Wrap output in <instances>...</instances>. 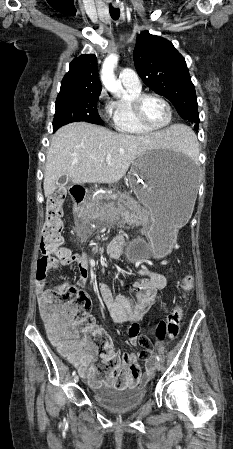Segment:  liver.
<instances>
[{
    "label": "liver",
    "instance_id": "1",
    "mask_svg": "<svg viewBox=\"0 0 233 449\" xmlns=\"http://www.w3.org/2000/svg\"><path fill=\"white\" fill-rule=\"evenodd\" d=\"M182 136L181 125L142 136L114 133L84 122L65 125L52 136L47 151L44 194L50 196L64 175L74 184L118 182L137 157L146 151L167 149ZM107 155H111L109 162Z\"/></svg>",
    "mask_w": 233,
    "mask_h": 449
}]
</instances>
